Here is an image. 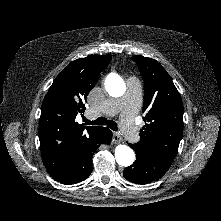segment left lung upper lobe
<instances>
[{"label": "left lung upper lobe", "instance_id": "left-lung-upper-lobe-1", "mask_svg": "<svg viewBox=\"0 0 221 221\" xmlns=\"http://www.w3.org/2000/svg\"><path fill=\"white\" fill-rule=\"evenodd\" d=\"M144 80L143 112L136 150L145 156H176L183 133V103L171 77L154 59L134 56Z\"/></svg>", "mask_w": 221, "mask_h": 221}]
</instances>
